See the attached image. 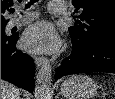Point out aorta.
Here are the masks:
<instances>
[{
    "instance_id": "762f6f07",
    "label": "aorta",
    "mask_w": 115,
    "mask_h": 99,
    "mask_svg": "<svg viewBox=\"0 0 115 99\" xmlns=\"http://www.w3.org/2000/svg\"><path fill=\"white\" fill-rule=\"evenodd\" d=\"M52 67L46 61L40 68L35 84V99H51Z\"/></svg>"
}]
</instances>
